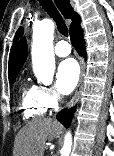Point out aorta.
Segmentation results:
<instances>
[{
  "mask_svg": "<svg viewBox=\"0 0 114 156\" xmlns=\"http://www.w3.org/2000/svg\"><path fill=\"white\" fill-rule=\"evenodd\" d=\"M54 23L44 20L33 29L32 63L38 82L50 84L55 70L53 49ZM72 146V136L68 132L61 149V156H69Z\"/></svg>",
  "mask_w": 114,
  "mask_h": 156,
  "instance_id": "762f6f07",
  "label": "aorta"
}]
</instances>
